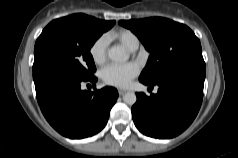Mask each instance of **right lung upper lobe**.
I'll return each instance as SVG.
<instances>
[{
    "mask_svg": "<svg viewBox=\"0 0 238 158\" xmlns=\"http://www.w3.org/2000/svg\"><path fill=\"white\" fill-rule=\"evenodd\" d=\"M81 15H84V14H81ZM101 21L105 24H109V25H112V26L115 24V21H103V20H101Z\"/></svg>",
    "mask_w": 238,
    "mask_h": 158,
    "instance_id": "obj_1",
    "label": "right lung upper lobe"
}]
</instances>
